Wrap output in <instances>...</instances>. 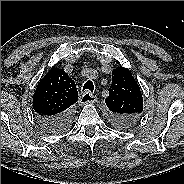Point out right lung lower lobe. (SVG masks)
I'll return each mask as SVG.
<instances>
[{
	"label": "right lung lower lobe",
	"mask_w": 184,
	"mask_h": 184,
	"mask_svg": "<svg viewBox=\"0 0 184 184\" xmlns=\"http://www.w3.org/2000/svg\"><path fill=\"white\" fill-rule=\"evenodd\" d=\"M71 110L55 117H39L42 127L49 133H57L71 121Z\"/></svg>",
	"instance_id": "right-lung-lower-lobe-1"
}]
</instances>
